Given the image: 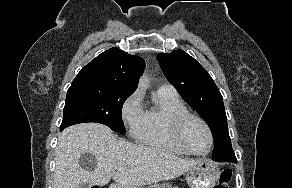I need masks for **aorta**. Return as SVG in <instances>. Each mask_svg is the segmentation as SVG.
Returning <instances> with one entry per match:
<instances>
[{
	"label": "aorta",
	"mask_w": 292,
	"mask_h": 188,
	"mask_svg": "<svg viewBox=\"0 0 292 188\" xmlns=\"http://www.w3.org/2000/svg\"><path fill=\"white\" fill-rule=\"evenodd\" d=\"M145 83H146V81H145L144 79L141 78L140 81H139V84H140V85H144Z\"/></svg>",
	"instance_id": "obj_1"
}]
</instances>
